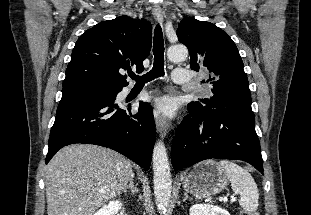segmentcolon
Instances as JSON below:
<instances>
[{
  "label": "colon",
  "mask_w": 311,
  "mask_h": 215,
  "mask_svg": "<svg viewBox=\"0 0 311 215\" xmlns=\"http://www.w3.org/2000/svg\"><path fill=\"white\" fill-rule=\"evenodd\" d=\"M241 215H260L258 212H247V211H244L242 212Z\"/></svg>",
  "instance_id": "5ec220e1"
}]
</instances>
